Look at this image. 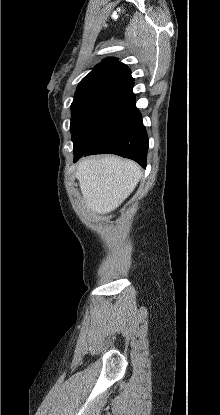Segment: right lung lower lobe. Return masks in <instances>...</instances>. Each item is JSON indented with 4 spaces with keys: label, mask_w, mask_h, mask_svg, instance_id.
<instances>
[{
    "label": "right lung lower lobe",
    "mask_w": 220,
    "mask_h": 415,
    "mask_svg": "<svg viewBox=\"0 0 220 415\" xmlns=\"http://www.w3.org/2000/svg\"><path fill=\"white\" fill-rule=\"evenodd\" d=\"M147 152L148 137L134 97L113 114L87 148L74 150V161L83 155L111 153L146 168Z\"/></svg>",
    "instance_id": "1"
}]
</instances>
